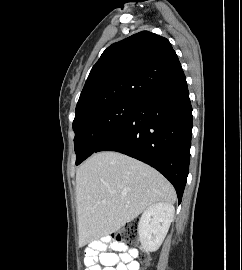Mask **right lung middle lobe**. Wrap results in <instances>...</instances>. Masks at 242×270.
<instances>
[{
    "label": "right lung middle lobe",
    "mask_w": 242,
    "mask_h": 270,
    "mask_svg": "<svg viewBox=\"0 0 242 270\" xmlns=\"http://www.w3.org/2000/svg\"><path fill=\"white\" fill-rule=\"evenodd\" d=\"M136 101L118 100L75 116L73 130L76 164L81 163L124 123Z\"/></svg>",
    "instance_id": "dd1d6c3e"
}]
</instances>
